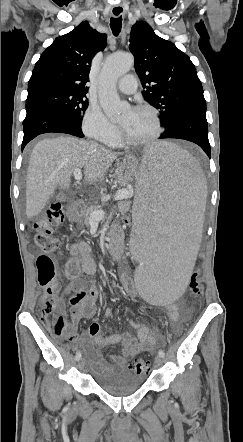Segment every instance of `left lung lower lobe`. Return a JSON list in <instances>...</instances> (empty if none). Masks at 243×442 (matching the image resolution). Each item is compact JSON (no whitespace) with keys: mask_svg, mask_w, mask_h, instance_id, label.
<instances>
[{"mask_svg":"<svg viewBox=\"0 0 243 442\" xmlns=\"http://www.w3.org/2000/svg\"><path fill=\"white\" fill-rule=\"evenodd\" d=\"M164 127L165 132L161 134L160 139L176 138L194 142L210 158L205 101L190 102L181 106Z\"/></svg>","mask_w":243,"mask_h":442,"instance_id":"left-lung-lower-lobe-1","label":"left lung lower lobe"}]
</instances>
